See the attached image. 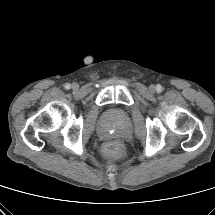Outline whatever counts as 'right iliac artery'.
Wrapping results in <instances>:
<instances>
[{
  "label": "right iliac artery",
  "mask_w": 215,
  "mask_h": 215,
  "mask_svg": "<svg viewBox=\"0 0 215 215\" xmlns=\"http://www.w3.org/2000/svg\"><path fill=\"white\" fill-rule=\"evenodd\" d=\"M64 87H65V89H70V87H71V86H70V84H69V83H67V84H65V86H64Z\"/></svg>",
  "instance_id": "82829eb1"
}]
</instances>
